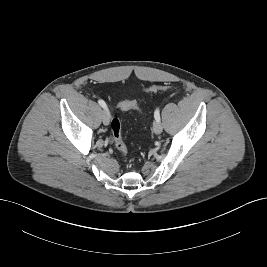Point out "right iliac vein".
<instances>
[{"label": "right iliac vein", "mask_w": 267, "mask_h": 267, "mask_svg": "<svg viewBox=\"0 0 267 267\" xmlns=\"http://www.w3.org/2000/svg\"><path fill=\"white\" fill-rule=\"evenodd\" d=\"M102 121L104 125H108L109 124V114L106 110H104L102 112Z\"/></svg>", "instance_id": "1"}]
</instances>
